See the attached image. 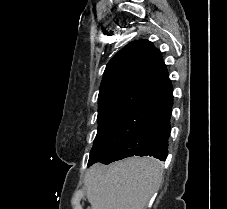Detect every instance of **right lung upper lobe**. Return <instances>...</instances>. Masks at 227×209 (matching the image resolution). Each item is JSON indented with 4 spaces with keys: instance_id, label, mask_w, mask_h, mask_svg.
I'll use <instances>...</instances> for the list:
<instances>
[{
    "instance_id": "cb5924a9",
    "label": "right lung upper lobe",
    "mask_w": 227,
    "mask_h": 209,
    "mask_svg": "<svg viewBox=\"0 0 227 209\" xmlns=\"http://www.w3.org/2000/svg\"><path fill=\"white\" fill-rule=\"evenodd\" d=\"M161 52L148 40L133 41L109 61L98 96V114L109 101L129 98L152 107L173 89Z\"/></svg>"
}]
</instances>
